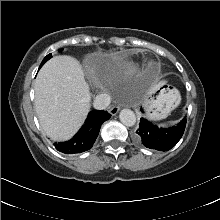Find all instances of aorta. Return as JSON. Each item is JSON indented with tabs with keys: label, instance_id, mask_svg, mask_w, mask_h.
I'll use <instances>...</instances> for the list:
<instances>
[{
	"label": "aorta",
	"instance_id": "1",
	"mask_svg": "<svg viewBox=\"0 0 220 220\" xmlns=\"http://www.w3.org/2000/svg\"><path fill=\"white\" fill-rule=\"evenodd\" d=\"M120 121L125 126H133L136 123V115L135 113L130 109H123L120 111L119 114Z\"/></svg>",
	"mask_w": 220,
	"mask_h": 220
}]
</instances>
